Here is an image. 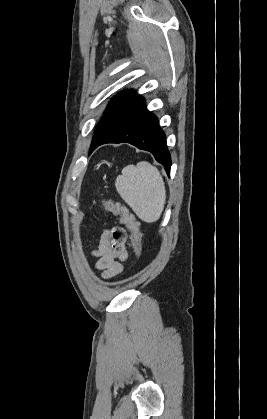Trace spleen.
<instances>
[{
  "mask_svg": "<svg viewBox=\"0 0 267 419\" xmlns=\"http://www.w3.org/2000/svg\"><path fill=\"white\" fill-rule=\"evenodd\" d=\"M115 187L122 199L144 222H156L164 209L166 190L159 170L149 162L128 165L116 178Z\"/></svg>",
  "mask_w": 267,
  "mask_h": 419,
  "instance_id": "obj_1",
  "label": "spleen"
}]
</instances>
